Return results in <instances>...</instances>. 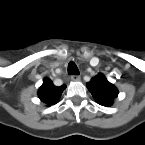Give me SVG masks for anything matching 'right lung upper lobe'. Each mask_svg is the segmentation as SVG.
I'll return each instance as SVG.
<instances>
[{
	"label": "right lung upper lobe",
	"mask_w": 145,
	"mask_h": 145,
	"mask_svg": "<svg viewBox=\"0 0 145 145\" xmlns=\"http://www.w3.org/2000/svg\"><path fill=\"white\" fill-rule=\"evenodd\" d=\"M65 88V85L56 87L50 79L45 78L43 81V85L38 91V95L41 101H43L47 105H52L59 100L61 93Z\"/></svg>",
	"instance_id": "cb5924a9"
}]
</instances>
